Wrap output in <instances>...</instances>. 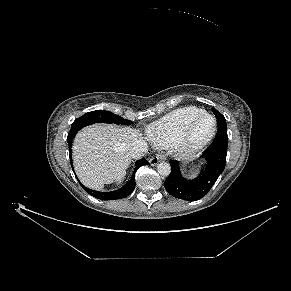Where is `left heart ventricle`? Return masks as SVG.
<instances>
[{
    "mask_svg": "<svg viewBox=\"0 0 291 291\" xmlns=\"http://www.w3.org/2000/svg\"><path fill=\"white\" fill-rule=\"evenodd\" d=\"M213 121L211 118L203 119L194 131V138L196 140L203 139L212 129Z\"/></svg>",
    "mask_w": 291,
    "mask_h": 291,
    "instance_id": "obj_1",
    "label": "left heart ventricle"
}]
</instances>
